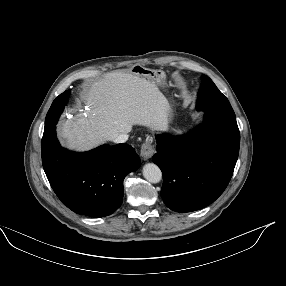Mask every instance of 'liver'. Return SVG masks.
Wrapping results in <instances>:
<instances>
[{"label": "liver", "instance_id": "liver-1", "mask_svg": "<svg viewBox=\"0 0 286 286\" xmlns=\"http://www.w3.org/2000/svg\"><path fill=\"white\" fill-rule=\"evenodd\" d=\"M83 100L91 112L77 113L59 125L64 144L76 150L112 140L136 124L151 130H164L168 124V103L157 84L130 70L115 71L94 82Z\"/></svg>", "mask_w": 286, "mask_h": 286}]
</instances>
